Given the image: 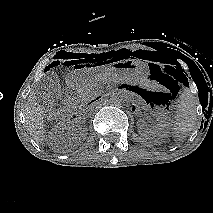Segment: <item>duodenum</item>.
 Here are the masks:
<instances>
[{
  "instance_id": "duodenum-1",
  "label": "duodenum",
  "mask_w": 213,
  "mask_h": 213,
  "mask_svg": "<svg viewBox=\"0 0 213 213\" xmlns=\"http://www.w3.org/2000/svg\"><path fill=\"white\" fill-rule=\"evenodd\" d=\"M103 98L101 96H97L94 97L91 101H90V105H93L95 103H98L102 100ZM83 114V111H78L74 114V118H80Z\"/></svg>"
}]
</instances>
